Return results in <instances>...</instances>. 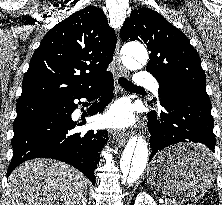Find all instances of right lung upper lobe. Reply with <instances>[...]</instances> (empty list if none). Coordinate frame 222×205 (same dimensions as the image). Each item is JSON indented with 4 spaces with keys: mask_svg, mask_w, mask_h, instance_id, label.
Masks as SVG:
<instances>
[{
    "mask_svg": "<svg viewBox=\"0 0 222 205\" xmlns=\"http://www.w3.org/2000/svg\"><path fill=\"white\" fill-rule=\"evenodd\" d=\"M116 46L102 9L88 6L55 25L33 54L17 102L70 98L111 75Z\"/></svg>",
    "mask_w": 222,
    "mask_h": 205,
    "instance_id": "cb5924a9",
    "label": "right lung upper lobe"
}]
</instances>
